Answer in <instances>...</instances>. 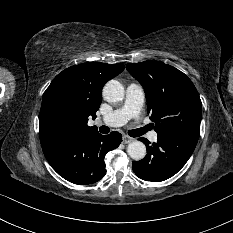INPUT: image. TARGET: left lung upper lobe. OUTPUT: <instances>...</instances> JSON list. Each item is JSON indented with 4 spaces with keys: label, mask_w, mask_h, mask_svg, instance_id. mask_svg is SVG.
Instances as JSON below:
<instances>
[{
    "label": "left lung upper lobe",
    "mask_w": 233,
    "mask_h": 233,
    "mask_svg": "<svg viewBox=\"0 0 233 233\" xmlns=\"http://www.w3.org/2000/svg\"><path fill=\"white\" fill-rule=\"evenodd\" d=\"M126 68L145 90L147 112L158 136L199 138L201 100L184 73L158 61L129 63Z\"/></svg>",
    "instance_id": "5c2ea615"
}]
</instances>
